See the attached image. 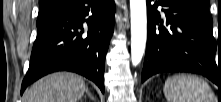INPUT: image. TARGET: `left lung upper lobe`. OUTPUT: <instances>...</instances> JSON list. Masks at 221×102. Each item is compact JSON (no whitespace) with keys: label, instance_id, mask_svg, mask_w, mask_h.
Returning <instances> with one entry per match:
<instances>
[{"label":"left lung upper lobe","instance_id":"left-lung-upper-lobe-1","mask_svg":"<svg viewBox=\"0 0 221 102\" xmlns=\"http://www.w3.org/2000/svg\"><path fill=\"white\" fill-rule=\"evenodd\" d=\"M195 1L204 5L206 8H209V0H195Z\"/></svg>","mask_w":221,"mask_h":102}]
</instances>
